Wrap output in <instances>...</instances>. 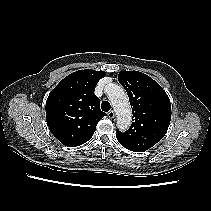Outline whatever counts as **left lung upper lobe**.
<instances>
[{"label":"left lung upper lobe","instance_id":"obj_1","mask_svg":"<svg viewBox=\"0 0 211 211\" xmlns=\"http://www.w3.org/2000/svg\"><path fill=\"white\" fill-rule=\"evenodd\" d=\"M119 83L127 91L133 123L126 132L116 131L119 143L134 152H144L166 134L171 120L170 100L163 88L148 75L121 71Z\"/></svg>","mask_w":211,"mask_h":211}]
</instances>
